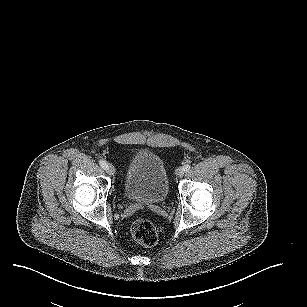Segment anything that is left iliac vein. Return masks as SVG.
Here are the masks:
<instances>
[{"instance_id":"left-iliac-vein-1","label":"left iliac vein","mask_w":307,"mask_h":307,"mask_svg":"<svg viewBox=\"0 0 307 307\" xmlns=\"http://www.w3.org/2000/svg\"><path fill=\"white\" fill-rule=\"evenodd\" d=\"M184 168L183 167H179L177 170H176V177L178 178H181L183 175H184Z\"/></svg>"}]
</instances>
